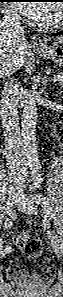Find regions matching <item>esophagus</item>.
<instances>
[{
	"label": "esophagus",
	"mask_w": 63,
	"mask_h": 297,
	"mask_svg": "<svg viewBox=\"0 0 63 297\" xmlns=\"http://www.w3.org/2000/svg\"><path fill=\"white\" fill-rule=\"evenodd\" d=\"M31 46L34 48H43L44 47V45L40 42V40L36 36L32 37Z\"/></svg>",
	"instance_id": "obj_1"
}]
</instances>
